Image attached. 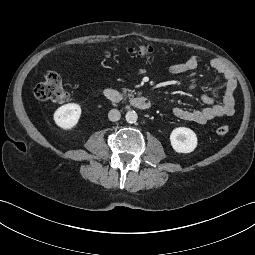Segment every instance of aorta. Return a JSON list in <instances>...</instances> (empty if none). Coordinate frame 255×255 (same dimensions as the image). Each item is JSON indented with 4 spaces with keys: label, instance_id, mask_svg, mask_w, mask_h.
<instances>
[{
    "label": "aorta",
    "instance_id": "762f6f07",
    "mask_svg": "<svg viewBox=\"0 0 255 255\" xmlns=\"http://www.w3.org/2000/svg\"><path fill=\"white\" fill-rule=\"evenodd\" d=\"M126 121L128 123H135L138 119V115L135 111H128L125 115Z\"/></svg>",
    "mask_w": 255,
    "mask_h": 255
}]
</instances>
